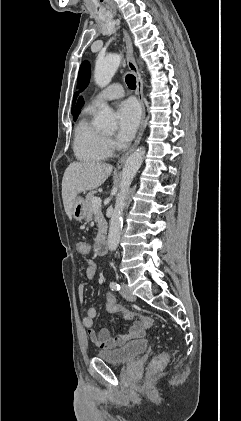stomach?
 Segmentation results:
<instances>
[{
	"label": "stomach",
	"mask_w": 241,
	"mask_h": 421,
	"mask_svg": "<svg viewBox=\"0 0 241 421\" xmlns=\"http://www.w3.org/2000/svg\"><path fill=\"white\" fill-rule=\"evenodd\" d=\"M85 201L82 197H76L72 207V217L82 221L86 217Z\"/></svg>",
	"instance_id": "0dacf381"
}]
</instances>
